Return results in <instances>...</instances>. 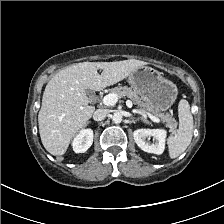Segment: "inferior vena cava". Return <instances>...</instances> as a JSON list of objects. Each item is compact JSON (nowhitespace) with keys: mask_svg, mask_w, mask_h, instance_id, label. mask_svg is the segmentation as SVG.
Returning <instances> with one entry per match:
<instances>
[{"mask_svg":"<svg viewBox=\"0 0 224 224\" xmlns=\"http://www.w3.org/2000/svg\"><path fill=\"white\" fill-rule=\"evenodd\" d=\"M108 111L106 109H97L94 113H93V119L95 121H102L105 119V117L107 116Z\"/></svg>","mask_w":224,"mask_h":224,"instance_id":"obj_1","label":"inferior vena cava"}]
</instances>
